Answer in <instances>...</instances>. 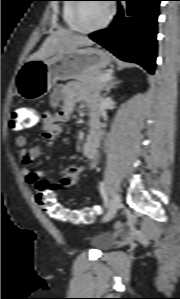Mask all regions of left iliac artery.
Listing matches in <instances>:
<instances>
[{"label": "left iliac artery", "mask_w": 180, "mask_h": 299, "mask_svg": "<svg viewBox=\"0 0 180 299\" xmlns=\"http://www.w3.org/2000/svg\"><path fill=\"white\" fill-rule=\"evenodd\" d=\"M99 190L102 194V197H103V200H104V205L107 208L109 206V201H108L107 193L105 191L104 182H102V181L99 183Z\"/></svg>", "instance_id": "left-iliac-artery-1"}]
</instances>
